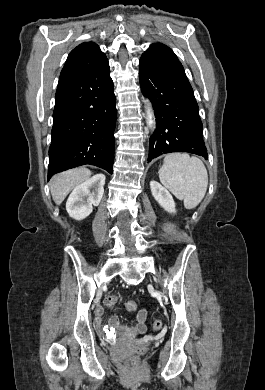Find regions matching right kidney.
<instances>
[{"instance_id": "1", "label": "right kidney", "mask_w": 265, "mask_h": 390, "mask_svg": "<svg viewBox=\"0 0 265 390\" xmlns=\"http://www.w3.org/2000/svg\"><path fill=\"white\" fill-rule=\"evenodd\" d=\"M104 184L105 175L96 174L78 185L72 191L66 203L69 216L76 220H82L89 216L93 211V206H98L103 197Z\"/></svg>"}]
</instances>
